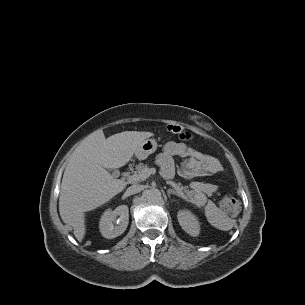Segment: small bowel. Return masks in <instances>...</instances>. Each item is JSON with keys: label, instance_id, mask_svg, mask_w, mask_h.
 <instances>
[{"label": "small bowel", "instance_id": "obj_1", "mask_svg": "<svg viewBox=\"0 0 305 305\" xmlns=\"http://www.w3.org/2000/svg\"><path fill=\"white\" fill-rule=\"evenodd\" d=\"M174 156L188 157L195 160L199 168L204 172L216 173L220 170V164L215 158L191 149L185 142H169L156 158V163L161 168V174L166 179L174 176Z\"/></svg>", "mask_w": 305, "mask_h": 305}]
</instances>
